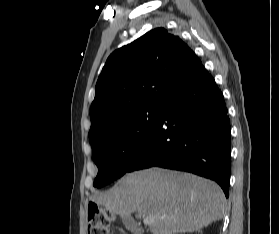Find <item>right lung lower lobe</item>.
<instances>
[{"instance_id": "obj_1", "label": "right lung lower lobe", "mask_w": 279, "mask_h": 234, "mask_svg": "<svg viewBox=\"0 0 279 234\" xmlns=\"http://www.w3.org/2000/svg\"><path fill=\"white\" fill-rule=\"evenodd\" d=\"M230 121L223 94L202 66L161 108L158 123L128 172L153 166L216 181L229 195Z\"/></svg>"}]
</instances>
